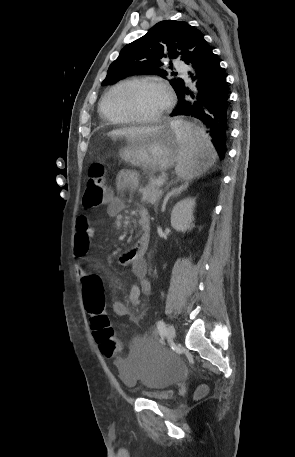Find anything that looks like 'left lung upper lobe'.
<instances>
[{
	"mask_svg": "<svg viewBox=\"0 0 295 457\" xmlns=\"http://www.w3.org/2000/svg\"><path fill=\"white\" fill-rule=\"evenodd\" d=\"M204 39L198 29L184 21L166 20L154 25L143 37L126 45L118 58L109 66L102 85L132 75H158L166 79L161 59L180 58L185 63L191 57L198 43ZM172 68V64L169 66ZM171 75H176L171 73ZM177 93L184 81L180 78L169 80Z\"/></svg>",
	"mask_w": 295,
	"mask_h": 457,
	"instance_id": "obj_1",
	"label": "left lung upper lobe"
}]
</instances>
